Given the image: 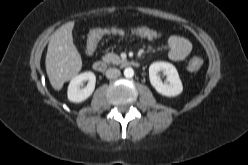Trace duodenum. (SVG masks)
Listing matches in <instances>:
<instances>
[{
	"label": "duodenum",
	"instance_id": "obj_1",
	"mask_svg": "<svg viewBox=\"0 0 248 165\" xmlns=\"http://www.w3.org/2000/svg\"><path fill=\"white\" fill-rule=\"evenodd\" d=\"M126 64L128 66H131V67H138L139 66V62L136 60L128 61ZM107 67H108V63L104 60H96L93 63V69L99 73H104L107 70Z\"/></svg>",
	"mask_w": 248,
	"mask_h": 165
}]
</instances>
